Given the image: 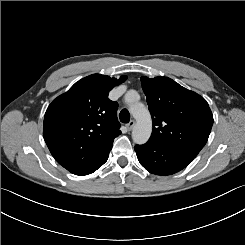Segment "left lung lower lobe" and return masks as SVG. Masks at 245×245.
<instances>
[{
    "label": "left lung lower lobe",
    "instance_id": "1",
    "mask_svg": "<svg viewBox=\"0 0 245 245\" xmlns=\"http://www.w3.org/2000/svg\"><path fill=\"white\" fill-rule=\"evenodd\" d=\"M135 151L140 164L150 173L156 175L175 174L192 161L172 148L150 141L144 145H136Z\"/></svg>",
    "mask_w": 245,
    "mask_h": 245
}]
</instances>
